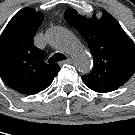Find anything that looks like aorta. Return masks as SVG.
I'll return each instance as SVG.
<instances>
[{
    "mask_svg": "<svg viewBox=\"0 0 135 135\" xmlns=\"http://www.w3.org/2000/svg\"><path fill=\"white\" fill-rule=\"evenodd\" d=\"M48 40L49 44L56 50L68 53L79 71L88 73L91 70V55L68 29L64 27L52 28L48 34Z\"/></svg>",
    "mask_w": 135,
    "mask_h": 135,
    "instance_id": "obj_1",
    "label": "aorta"
}]
</instances>
